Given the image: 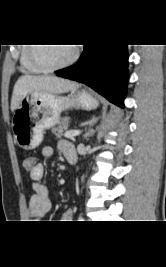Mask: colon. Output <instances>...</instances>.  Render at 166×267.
Returning <instances> with one entry per match:
<instances>
[{"mask_svg":"<svg viewBox=\"0 0 166 267\" xmlns=\"http://www.w3.org/2000/svg\"><path fill=\"white\" fill-rule=\"evenodd\" d=\"M35 159L33 157H28L23 161V166L27 171H30L33 169L35 165Z\"/></svg>","mask_w":166,"mask_h":267,"instance_id":"colon-1","label":"colon"}]
</instances>
